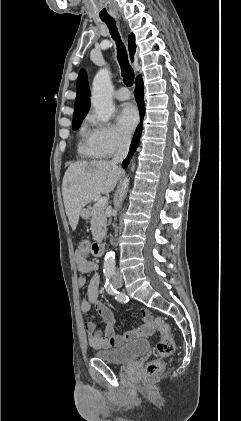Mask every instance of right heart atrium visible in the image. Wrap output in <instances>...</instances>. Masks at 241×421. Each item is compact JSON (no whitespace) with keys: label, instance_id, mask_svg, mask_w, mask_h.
<instances>
[{"label":"right heart atrium","instance_id":"1","mask_svg":"<svg viewBox=\"0 0 241 421\" xmlns=\"http://www.w3.org/2000/svg\"><path fill=\"white\" fill-rule=\"evenodd\" d=\"M87 122L91 125L89 135L99 157L108 158L128 146L130 138L120 128L98 121L93 114L87 116Z\"/></svg>","mask_w":241,"mask_h":421}]
</instances>
